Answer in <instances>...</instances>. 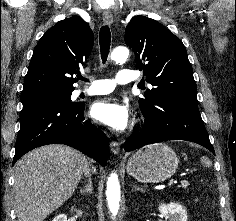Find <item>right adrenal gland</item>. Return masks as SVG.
Masks as SVG:
<instances>
[{"mask_svg":"<svg viewBox=\"0 0 236 221\" xmlns=\"http://www.w3.org/2000/svg\"><path fill=\"white\" fill-rule=\"evenodd\" d=\"M92 190H93V187H92V180L91 178L88 179V183L85 185L84 188H82L80 190L81 194H91L92 193Z\"/></svg>","mask_w":236,"mask_h":221,"instance_id":"obj_1","label":"right adrenal gland"}]
</instances>
